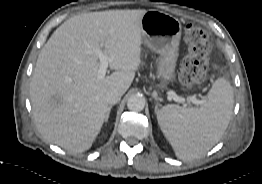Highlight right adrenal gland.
Instances as JSON below:
<instances>
[{
    "label": "right adrenal gland",
    "mask_w": 262,
    "mask_h": 184,
    "mask_svg": "<svg viewBox=\"0 0 262 184\" xmlns=\"http://www.w3.org/2000/svg\"><path fill=\"white\" fill-rule=\"evenodd\" d=\"M111 108H112V105L109 106V111H108L107 117H106V119H105L106 122L108 121V118H109V114H110Z\"/></svg>",
    "instance_id": "obj_1"
}]
</instances>
